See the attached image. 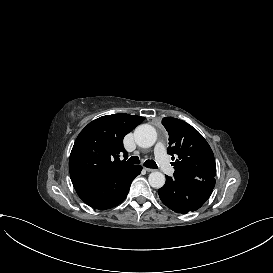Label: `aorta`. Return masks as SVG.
I'll return each mask as SVG.
<instances>
[{"mask_svg": "<svg viewBox=\"0 0 273 273\" xmlns=\"http://www.w3.org/2000/svg\"><path fill=\"white\" fill-rule=\"evenodd\" d=\"M134 138L138 146L149 148L155 144L157 133L153 126L142 124L135 129ZM148 181L151 187L159 189L165 184V176L161 172L155 171L150 173Z\"/></svg>", "mask_w": 273, "mask_h": 273, "instance_id": "1", "label": "aorta"}]
</instances>
